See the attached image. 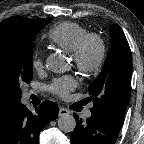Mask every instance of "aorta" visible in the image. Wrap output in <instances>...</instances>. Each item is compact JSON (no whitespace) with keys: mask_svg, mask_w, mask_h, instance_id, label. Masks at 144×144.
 Here are the masks:
<instances>
[{"mask_svg":"<svg viewBox=\"0 0 144 144\" xmlns=\"http://www.w3.org/2000/svg\"><path fill=\"white\" fill-rule=\"evenodd\" d=\"M46 67L52 72H59L65 69V62L62 56L51 54L46 60ZM58 127L63 132H73L76 127L75 118L70 114H63L58 119Z\"/></svg>","mask_w":144,"mask_h":144,"instance_id":"762f6f07","label":"aorta"}]
</instances>
